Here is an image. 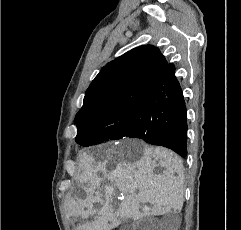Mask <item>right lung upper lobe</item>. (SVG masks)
I'll return each mask as SVG.
<instances>
[{
  "label": "right lung upper lobe",
  "instance_id": "obj_1",
  "mask_svg": "<svg viewBox=\"0 0 241 230\" xmlns=\"http://www.w3.org/2000/svg\"><path fill=\"white\" fill-rule=\"evenodd\" d=\"M170 65L152 45L137 47L109 62L87 89L83 107L75 117L76 125L102 120L116 109L152 103Z\"/></svg>",
  "mask_w": 241,
  "mask_h": 230
}]
</instances>
